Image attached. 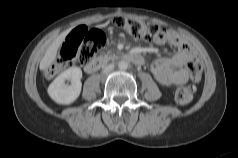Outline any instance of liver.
<instances>
[{"mask_svg":"<svg viewBox=\"0 0 238 158\" xmlns=\"http://www.w3.org/2000/svg\"><path fill=\"white\" fill-rule=\"evenodd\" d=\"M106 26V24L102 25V27ZM69 33V30L61 33L48 47V49L45 52V55L43 56L41 62H40V69L46 70L55 60L57 56V51L62 42L64 41V38Z\"/></svg>","mask_w":238,"mask_h":158,"instance_id":"liver-1","label":"liver"}]
</instances>
